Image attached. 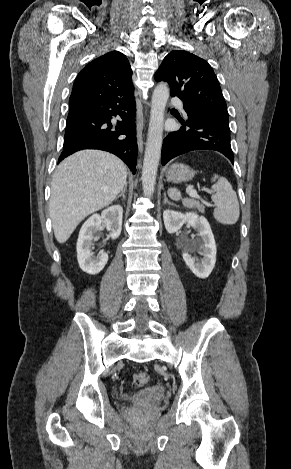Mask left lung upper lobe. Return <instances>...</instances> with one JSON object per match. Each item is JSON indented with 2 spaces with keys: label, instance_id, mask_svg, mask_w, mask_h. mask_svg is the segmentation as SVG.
<instances>
[{
  "label": "left lung upper lobe",
  "instance_id": "left-lung-upper-lobe-1",
  "mask_svg": "<svg viewBox=\"0 0 291 469\" xmlns=\"http://www.w3.org/2000/svg\"><path fill=\"white\" fill-rule=\"evenodd\" d=\"M156 81H166L171 96L184 104L225 120L227 105L218 79L211 66L200 57L180 50L170 52L155 74Z\"/></svg>",
  "mask_w": 291,
  "mask_h": 469
}]
</instances>
